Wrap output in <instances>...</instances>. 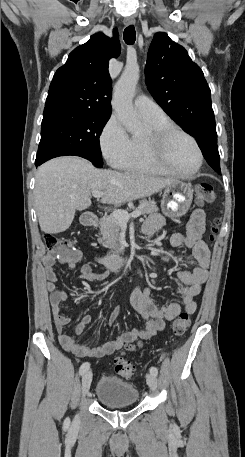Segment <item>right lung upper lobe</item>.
<instances>
[{
	"label": "right lung upper lobe",
	"instance_id": "cb5924a9",
	"mask_svg": "<svg viewBox=\"0 0 245 457\" xmlns=\"http://www.w3.org/2000/svg\"><path fill=\"white\" fill-rule=\"evenodd\" d=\"M117 29L114 38L102 33L74 49L50 84L44 113L89 110L111 114L109 60L120 54Z\"/></svg>",
	"mask_w": 245,
	"mask_h": 457
}]
</instances>
